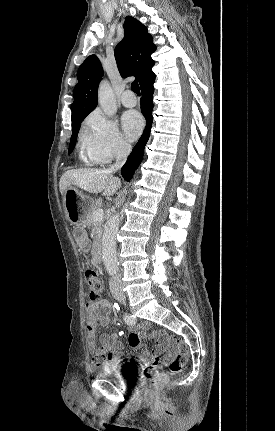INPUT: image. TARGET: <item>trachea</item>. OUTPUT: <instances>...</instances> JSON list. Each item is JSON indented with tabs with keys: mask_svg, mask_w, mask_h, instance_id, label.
<instances>
[{
	"mask_svg": "<svg viewBox=\"0 0 275 431\" xmlns=\"http://www.w3.org/2000/svg\"><path fill=\"white\" fill-rule=\"evenodd\" d=\"M131 90L133 92H135L137 95H140V88H139V84L137 82H133L131 84Z\"/></svg>",
	"mask_w": 275,
	"mask_h": 431,
	"instance_id": "3493384b",
	"label": "trachea"
}]
</instances>
